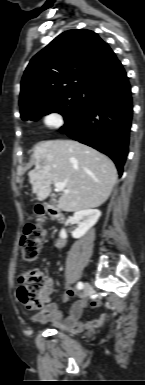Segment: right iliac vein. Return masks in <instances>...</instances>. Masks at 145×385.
<instances>
[{
	"mask_svg": "<svg viewBox=\"0 0 145 385\" xmlns=\"http://www.w3.org/2000/svg\"><path fill=\"white\" fill-rule=\"evenodd\" d=\"M90 291H91V286L88 283H85L83 288V297L84 298L88 297V295L90 294Z\"/></svg>",
	"mask_w": 145,
	"mask_h": 385,
	"instance_id": "63e3f726",
	"label": "right iliac vein"
}]
</instances>
